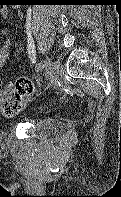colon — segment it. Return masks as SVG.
Here are the masks:
<instances>
[{"instance_id": "1", "label": "colon", "mask_w": 121, "mask_h": 197, "mask_svg": "<svg viewBox=\"0 0 121 197\" xmlns=\"http://www.w3.org/2000/svg\"><path fill=\"white\" fill-rule=\"evenodd\" d=\"M33 89V83L27 78H20L14 83L0 84V112L8 118L18 115Z\"/></svg>"}]
</instances>
